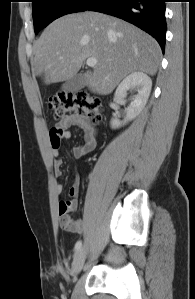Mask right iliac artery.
<instances>
[{
    "label": "right iliac artery",
    "mask_w": 195,
    "mask_h": 299,
    "mask_svg": "<svg viewBox=\"0 0 195 299\" xmlns=\"http://www.w3.org/2000/svg\"><path fill=\"white\" fill-rule=\"evenodd\" d=\"M81 245H82V242L81 241H78L76 244H75V252H77L80 248H81Z\"/></svg>",
    "instance_id": "obj_1"
}]
</instances>
